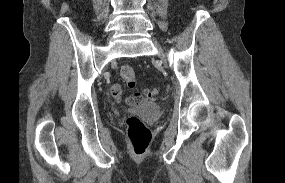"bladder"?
<instances>
[{
    "instance_id": "1",
    "label": "bladder",
    "mask_w": 285,
    "mask_h": 183,
    "mask_svg": "<svg viewBox=\"0 0 285 183\" xmlns=\"http://www.w3.org/2000/svg\"><path fill=\"white\" fill-rule=\"evenodd\" d=\"M131 112L136 116L152 122L160 116L161 108L156 104L143 103L132 108Z\"/></svg>"
}]
</instances>
